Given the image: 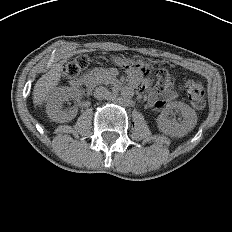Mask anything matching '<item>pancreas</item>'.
I'll list each match as a JSON object with an SVG mask.
<instances>
[{
  "label": "pancreas",
  "instance_id": "1",
  "mask_svg": "<svg viewBox=\"0 0 232 232\" xmlns=\"http://www.w3.org/2000/svg\"><path fill=\"white\" fill-rule=\"evenodd\" d=\"M102 76H104V78H107V79H111V77L105 72V71H102Z\"/></svg>",
  "mask_w": 232,
  "mask_h": 232
}]
</instances>
